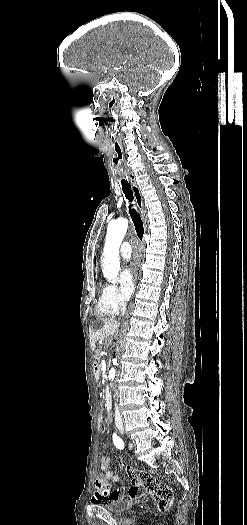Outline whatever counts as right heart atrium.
<instances>
[{
    "label": "right heart atrium",
    "instance_id": "1",
    "mask_svg": "<svg viewBox=\"0 0 247 525\" xmlns=\"http://www.w3.org/2000/svg\"><path fill=\"white\" fill-rule=\"evenodd\" d=\"M102 301L111 309L119 310L123 306V300L118 296L117 289L113 284H107L102 293Z\"/></svg>",
    "mask_w": 247,
    "mask_h": 525
}]
</instances>
